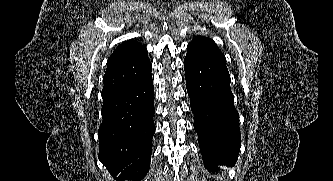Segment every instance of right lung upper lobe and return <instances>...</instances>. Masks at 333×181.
<instances>
[{
  "label": "right lung upper lobe",
  "instance_id": "right-lung-upper-lobe-1",
  "mask_svg": "<svg viewBox=\"0 0 333 181\" xmlns=\"http://www.w3.org/2000/svg\"><path fill=\"white\" fill-rule=\"evenodd\" d=\"M149 73L151 63L146 48L135 40L125 41L107 61L102 98L143 79Z\"/></svg>",
  "mask_w": 333,
  "mask_h": 181
}]
</instances>
